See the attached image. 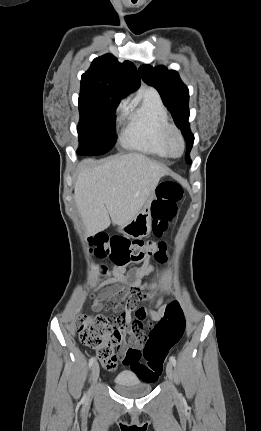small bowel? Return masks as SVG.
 Here are the masks:
<instances>
[{
  "instance_id": "1",
  "label": "small bowel",
  "mask_w": 261,
  "mask_h": 431,
  "mask_svg": "<svg viewBox=\"0 0 261 431\" xmlns=\"http://www.w3.org/2000/svg\"><path fill=\"white\" fill-rule=\"evenodd\" d=\"M152 270L153 266H133L125 273L123 267L113 268L111 276L98 284V287H104L111 283L116 284L113 288L104 290L101 297L107 298L106 301L110 304L113 301L110 297L116 295L118 297L115 298V303H122L125 306V310L120 312L121 319L118 330L121 334L128 333L132 350H137L142 345V342H145L148 338L147 335H142L143 329L148 326L145 323L148 319L146 315L150 313L151 318L158 322L164 314V305L158 304L150 311L144 304L149 300V295L146 294L145 290L150 285L145 283L143 279L150 275ZM93 308L96 311L101 310L102 305L100 300L95 299ZM131 315L135 316L132 321L130 318ZM128 360L130 359L127 355L125 361L127 362Z\"/></svg>"
}]
</instances>
